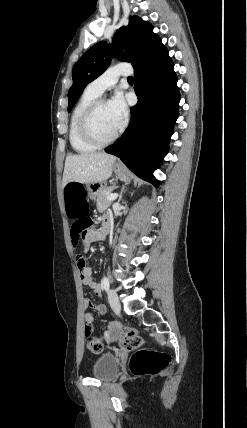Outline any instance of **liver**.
<instances>
[{"mask_svg": "<svg viewBox=\"0 0 247 428\" xmlns=\"http://www.w3.org/2000/svg\"><path fill=\"white\" fill-rule=\"evenodd\" d=\"M116 157L104 152L68 155L65 160L63 187L70 182L102 183L112 175Z\"/></svg>", "mask_w": 247, "mask_h": 428, "instance_id": "liver-1", "label": "liver"}]
</instances>
